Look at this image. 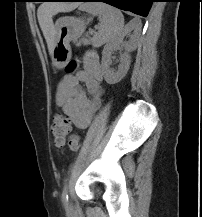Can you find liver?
<instances>
[{
    "instance_id": "obj_1",
    "label": "liver",
    "mask_w": 202,
    "mask_h": 217,
    "mask_svg": "<svg viewBox=\"0 0 202 217\" xmlns=\"http://www.w3.org/2000/svg\"><path fill=\"white\" fill-rule=\"evenodd\" d=\"M78 5V3L44 2L39 6L37 11L38 22L46 39L50 55H52L55 39L53 16L58 12H70L77 8Z\"/></svg>"
}]
</instances>
